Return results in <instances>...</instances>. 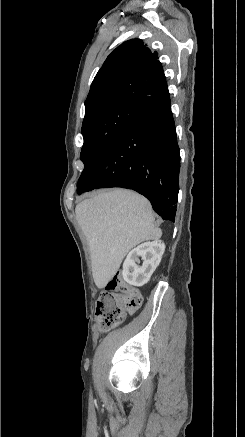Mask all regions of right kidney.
<instances>
[{"instance_id": "ca27d5eb", "label": "right kidney", "mask_w": 245, "mask_h": 437, "mask_svg": "<svg viewBox=\"0 0 245 437\" xmlns=\"http://www.w3.org/2000/svg\"><path fill=\"white\" fill-rule=\"evenodd\" d=\"M165 244L156 240L143 243L129 252L123 263V279L133 286L145 285L161 262ZM143 263L140 264V259Z\"/></svg>"}]
</instances>
